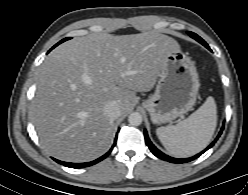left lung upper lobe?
<instances>
[{
  "label": "left lung upper lobe",
  "instance_id": "1",
  "mask_svg": "<svg viewBox=\"0 0 248 195\" xmlns=\"http://www.w3.org/2000/svg\"><path fill=\"white\" fill-rule=\"evenodd\" d=\"M188 34H189V36H191L192 38L197 40L199 43H201L205 47L208 46L207 43L201 37H199L197 34H195L193 32H188Z\"/></svg>",
  "mask_w": 248,
  "mask_h": 195
}]
</instances>
